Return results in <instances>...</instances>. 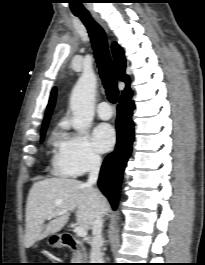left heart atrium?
<instances>
[{
    "instance_id": "39dd6f15",
    "label": "left heart atrium",
    "mask_w": 205,
    "mask_h": 265,
    "mask_svg": "<svg viewBox=\"0 0 205 265\" xmlns=\"http://www.w3.org/2000/svg\"><path fill=\"white\" fill-rule=\"evenodd\" d=\"M116 141L114 129L109 124H99L93 132V142L99 152L110 150Z\"/></svg>"
}]
</instances>
